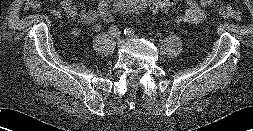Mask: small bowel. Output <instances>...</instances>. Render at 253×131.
Masks as SVG:
<instances>
[{
    "mask_svg": "<svg viewBox=\"0 0 253 131\" xmlns=\"http://www.w3.org/2000/svg\"><path fill=\"white\" fill-rule=\"evenodd\" d=\"M187 8L184 13L178 15L175 22L178 24L198 25L207 17V7L215 3L216 0H184ZM111 0H99L97 7L92 10H78L73 0H60L62 12L71 19H79L85 24L92 25L95 32L101 30L98 23L101 14L109 10ZM36 3L32 0L26 2V8L35 6ZM50 13L55 17H61V11L58 9H51ZM72 34L78 36L80 34L79 28H74Z\"/></svg>",
    "mask_w": 253,
    "mask_h": 131,
    "instance_id": "small-bowel-1",
    "label": "small bowel"
}]
</instances>
